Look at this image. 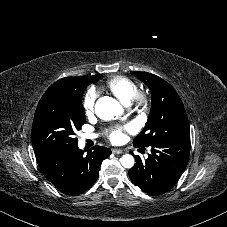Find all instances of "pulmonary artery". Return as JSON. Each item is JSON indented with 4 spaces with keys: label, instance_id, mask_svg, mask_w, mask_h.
<instances>
[{
    "label": "pulmonary artery",
    "instance_id": "e3ab8cb5",
    "mask_svg": "<svg viewBox=\"0 0 227 227\" xmlns=\"http://www.w3.org/2000/svg\"><path fill=\"white\" fill-rule=\"evenodd\" d=\"M86 138H96L97 137V134H88V135H85Z\"/></svg>",
    "mask_w": 227,
    "mask_h": 227
}]
</instances>
